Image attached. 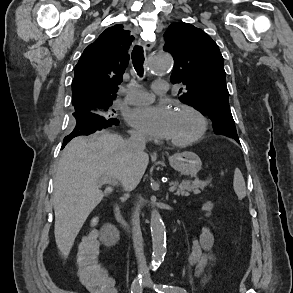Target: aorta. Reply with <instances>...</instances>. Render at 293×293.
Returning a JSON list of instances; mask_svg holds the SVG:
<instances>
[{
    "instance_id": "762f6f07",
    "label": "aorta",
    "mask_w": 293,
    "mask_h": 293,
    "mask_svg": "<svg viewBox=\"0 0 293 293\" xmlns=\"http://www.w3.org/2000/svg\"><path fill=\"white\" fill-rule=\"evenodd\" d=\"M172 67V57L169 53L162 50H155L151 53L148 63L147 72L150 75L164 74ZM151 236H152V266L157 267L163 260L166 253V231L165 225L160 213L153 210L150 219Z\"/></svg>"
}]
</instances>
